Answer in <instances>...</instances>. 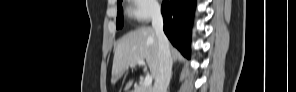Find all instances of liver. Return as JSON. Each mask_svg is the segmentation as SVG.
I'll use <instances>...</instances> for the list:
<instances>
[{"label": "liver", "mask_w": 296, "mask_h": 92, "mask_svg": "<svg viewBox=\"0 0 296 92\" xmlns=\"http://www.w3.org/2000/svg\"><path fill=\"white\" fill-rule=\"evenodd\" d=\"M138 60H146L150 73L155 79L159 72V45L155 31L151 27L131 31L118 41L114 51L112 82L115 83L129 66L136 67ZM132 83L133 80H130L126 84V91Z\"/></svg>", "instance_id": "6515ba94"}]
</instances>
